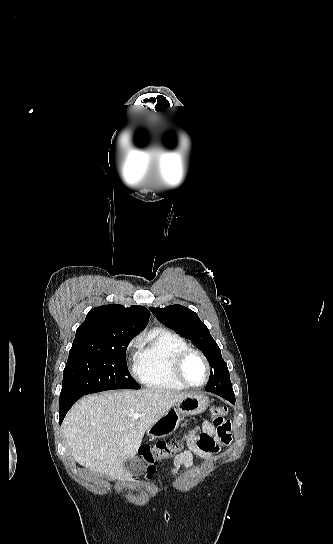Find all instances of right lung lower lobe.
<instances>
[{"label":"right lung lower lobe","instance_id":"right-lung-lower-lobe-1","mask_svg":"<svg viewBox=\"0 0 333 544\" xmlns=\"http://www.w3.org/2000/svg\"><path fill=\"white\" fill-rule=\"evenodd\" d=\"M81 397L82 396L74 397L72 395H60L59 424L62 423L66 413L72 407V405Z\"/></svg>","mask_w":333,"mask_h":544}]
</instances>
